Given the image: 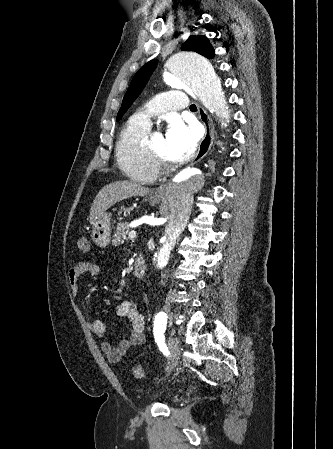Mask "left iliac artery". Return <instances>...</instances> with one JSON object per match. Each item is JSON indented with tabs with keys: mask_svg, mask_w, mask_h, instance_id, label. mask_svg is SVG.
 <instances>
[{
	"mask_svg": "<svg viewBox=\"0 0 333 449\" xmlns=\"http://www.w3.org/2000/svg\"><path fill=\"white\" fill-rule=\"evenodd\" d=\"M167 315L165 312H159L154 319V338L160 351L165 355L169 356V350L165 344L164 332L166 330Z\"/></svg>",
	"mask_w": 333,
	"mask_h": 449,
	"instance_id": "44dca946",
	"label": "left iliac artery"
}]
</instances>
